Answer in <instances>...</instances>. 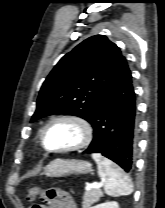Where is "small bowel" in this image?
<instances>
[{
    "label": "small bowel",
    "instance_id": "1",
    "mask_svg": "<svg viewBox=\"0 0 165 208\" xmlns=\"http://www.w3.org/2000/svg\"><path fill=\"white\" fill-rule=\"evenodd\" d=\"M29 208H77V206L68 192L51 188L43 194L41 202L33 203Z\"/></svg>",
    "mask_w": 165,
    "mask_h": 208
}]
</instances>
